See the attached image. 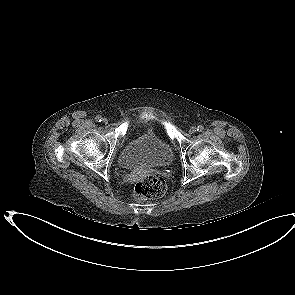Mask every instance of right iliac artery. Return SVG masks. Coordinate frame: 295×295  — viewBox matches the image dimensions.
<instances>
[{
	"instance_id": "right-iliac-artery-1",
	"label": "right iliac artery",
	"mask_w": 295,
	"mask_h": 295,
	"mask_svg": "<svg viewBox=\"0 0 295 295\" xmlns=\"http://www.w3.org/2000/svg\"><path fill=\"white\" fill-rule=\"evenodd\" d=\"M95 119H96V121H97V122H101V121H102V117H101V116H99V115H98V116H96V118H95Z\"/></svg>"
}]
</instances>
